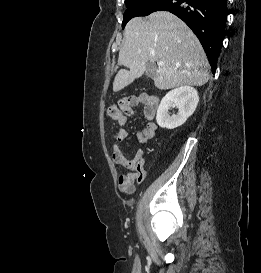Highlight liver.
<instances>
[{"label": "liver", "instance_id": "obj_1", "mask_svg": "<svg viewBox=\"0 0 261 273\" xmlns=\"http://www.w3.org/2000/svg\"><path fill=\"white\" fill-rule=\"evenodd\" d=\"M125 42L119 52L120 69L113 82L118 92L141 77L147 63L164 62L156 68L154 85L161 90L180 86H202L209 80V63L194 33L178 17L157 11L146 18L135 17L125 27Z\"/></svg>", "mask_w": 261, "mask_h": 273}]
</instances>
